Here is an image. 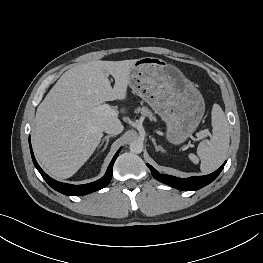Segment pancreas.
<instances>
[{
	"label": "pancreas",
	"instance_id": "cf45deb5",
	"mask_svg": "<svg viewBox=\"0 0 263 263\" xmlns=\"http://www.w3.org/2000/svg\"><path fill=\"white\" fill-rule=\"evenodd\" d=\"M136 112H140L143 116H148L150 120H156L152 112L146 107L138 108Z\"/></svg>",
	"mask_w": 263,
	"mask_h": 263
}]
</instances>
